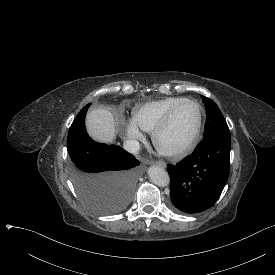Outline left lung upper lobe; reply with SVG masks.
Returning a JSON list of instances; mask_svg holds the SVG:
<instances>
[{
	"instance_id": "left-lung-upper-lobe-1",
	"label": "left lung upper lobe",
	"mask_w": 275,
	"mask_h": 275,
	"mask_svg": "<svg viewBox=\"0 0 275 275\" xmlns=\"http://www.w3.org/2000/svg\"><path fill=\"white\" fill-rule=\"evenodd\" d=\"M202 98L207 110L203 140L220 134H230L227 123L216 103L205 96H202Z\"/></svg>"
}]
</instances>
